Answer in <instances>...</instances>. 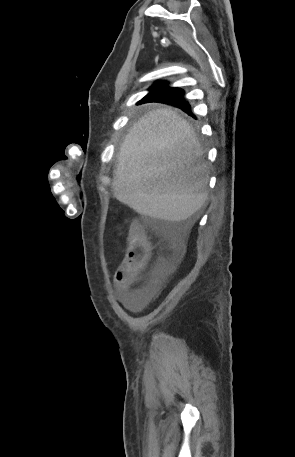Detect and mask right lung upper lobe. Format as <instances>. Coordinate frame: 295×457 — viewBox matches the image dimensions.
I'll return each mask as SVG.
<instances>
[{
	"label": "right lung upper lobe",
	"instance_id": "obj_1",
	"mask_svg": "<svg viewBox=\"0 0 295 457\" xmlns=\"http://www.w3.org/2000/svg\"><path fill=\"white\" fill-rule=\"evenodd\" d=\"M160 84H165V82H157L154 86L160 85Z\"/></svg>",
	"mask_w": 295,
	"mask_h": 457
}]
</instances>
